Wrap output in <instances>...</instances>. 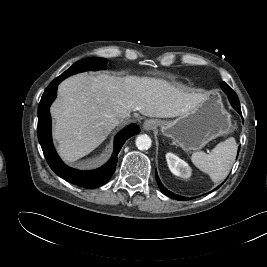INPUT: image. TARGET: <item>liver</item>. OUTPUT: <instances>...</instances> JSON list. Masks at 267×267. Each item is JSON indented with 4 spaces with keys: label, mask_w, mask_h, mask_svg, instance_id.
<instances>
[{
    "label": "liver",
    "mask_w": 267,
    "mask_h": 267,
    "mask_svg": "<svg viewBox=\"0 0 267 267\" xmlns=\"http://www.w3.org/2000/svg\"><path fill=\"white\" fill-rule=\"evenodd\" d=\"M204 98L163 79L78 74L58 87V98L51 106L53 137L60 156L73 162L96 149L119 125L122 114L176 117L195 109Z\"/></svg>",
    "instance_id": "1"
}]
</instances>
